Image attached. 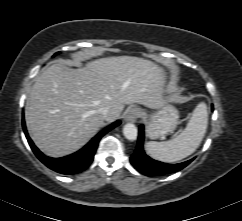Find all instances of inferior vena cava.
<instances>
[{
  "label": "inferior vena cava",
  "instance_id": "obj_1",
  "mask_svg": "<svg viewBox=\"0 0 242 221\" xmlns=\"http://www.w3.org/2000/svg\"><path fill=\"white\" fill-rule=\"evenodd\" d=\"M99 112L105 120H107L111 114L110 110L107 107H101L99 109Z\"/></svg>",
  "mask_w": 242,
  "mask_h": 221
}]
</instances>
